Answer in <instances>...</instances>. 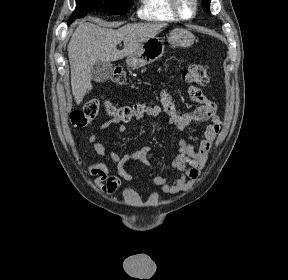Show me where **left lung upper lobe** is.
Masks as SVG:
<instances>
[{"mask_svg":"<svg viewBox=\"0 0 288 280\" xmlns=\"http://www.w3.org/2000/svg\"><path fill=\"white\" fill-rule=\"evenodd\" d=\"M210 1L211 0H202L201 4L205 12L210 13Z\"/></svg>","mask_w":288,"mask_h":280,"instance_id":"1","label":"left lung upper lobe"}]
</instances>
